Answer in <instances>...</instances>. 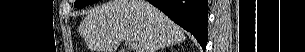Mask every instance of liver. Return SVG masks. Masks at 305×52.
Segmentation results:
<instances>
[{
	"instance_id": "liver-1",
	"label": "liver",
	"mask_w": 305,
	"mask_h": 52,
	"mask_svg": "<svg viewBox=\"0 0 305 52\" xmlns=\"http://www.w3.org/2000/svg\"><path fill=\"white\" fill-rule=\"evenodd\" d=\"M79 34L93 52H115L123 40L137 52H156L186 40L184 30L144 0H112L92 9Z\"/></svg>"
}]
</instances>
